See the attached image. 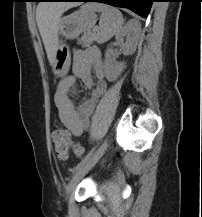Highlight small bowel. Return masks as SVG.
Returning <instances> with one entry per match:
<instances>
[{
	"label": "small bowel",
	"mask_w": 202,
	"mask_h": 217,
	"mask_svg": "<svg viewBox=\"0 0 202 217\" xmlns=\"http://www.w3.org/2000/svg\"><path fill=\"white\" fill-rule=\"evenodd\" d=\"M95 74L96 81L93 80ZM77 79L90 89V96L79 106L71 97ZM107 83L104 79V65L97 49L76 51L73 61V75L61 80L54 93V103L61 122L75 136H80L89 126L99 98L105 93Z\"/></svg>",
	"instance_id": "1"
}]
</instances>
